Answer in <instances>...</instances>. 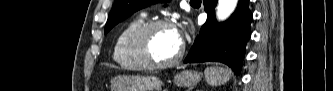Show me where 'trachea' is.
Segmentation results:
<instances>
[{
    "label": "trachea",
    "instance_id": "1",
    "mask_svg": "<svg viewBox=\"0 0 333 91\" xmlns=\"http://www.w3.org/2000/svg\"><path fill=\"white\" fill-rule=\"evenodd\" d=\"M191 2H201L200 0H192Z\"/></svg>",
    "mask_w": 333,
    "mask_h": 91
}]
</instances>
